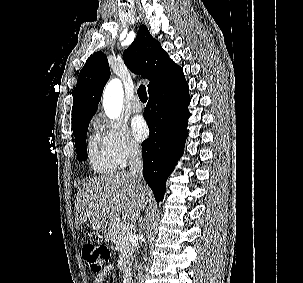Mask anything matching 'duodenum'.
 Returning a JSON list of instances; mask_svg holds the SVG:
<instances>
[{"mask_svg":"<svg viewBox=\"0 0 303 283\" xmlns=\"http://www.w3.org/2000/svg\"><path fill=\"white\" fill-rule=\"evenodd\" d=\"M123 276L127 280V283H131V277H130V268L128 265H124L122 268Z\"/></svg>","mask_w":303,"mask_h":283,"instance_id":"duodenum-1","label":"duodenum"}]
</instances>
